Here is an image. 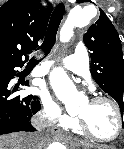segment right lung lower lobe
<instances>
[{
  "mask_svg": "<svg viewBox=\"0 0 124 149\" xmlns=\"http://www.w3.org/2000/svg\"><path fill=\"white\" fill-rule=\"evenodd\" d=\"M17 75L14 67H0V135L35 131L31 118L40 110L36 96L17 95L18 86L12 87L10 80Z\"/></svg>",
  "mask_w": 124,
  "mask_h": 149,
  "instance_id": "obj_1",
  "label": "right lung lower lobe"
}]
</instances>
